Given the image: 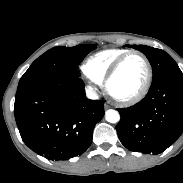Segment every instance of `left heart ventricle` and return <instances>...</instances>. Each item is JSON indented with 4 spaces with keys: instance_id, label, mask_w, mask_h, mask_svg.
Returning <instances> with one entry per match:
<instances>
[{
    "instance_id": "obj_1",
    "label": "left heart ventricle",
    "mask_w": 183,
    "mask_h": 183,
    "mask_svg": "<svg viewBox=\"0 0 183 183\" xmlns=\"http://www.w3.org/2000/svg\"><path fill=\"white\" fill-rule=\"evenodd\" d=\"M146 69L138 55L129 56L111 79L108 89L119 98L136 94L144 84Z\"/></svg>"
}]
</instances>
